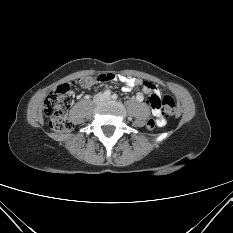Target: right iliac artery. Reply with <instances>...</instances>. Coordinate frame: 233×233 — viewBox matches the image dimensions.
<instances>
[{
    "label": "right iliac artery",
    "instance_id": "obj_1",
    "mask_svg": "<svg viewBox=\"0 0 233 233\" xmlns=\"http://www.w3.org/2000/svg\"><path fill=\"white\" fill-rule=\"evenodd\" d=\"M103 95L106 96V97H109L111 95V91L106 90V91H104Z\"/></svg>",
    "mask_w": 233,
    "mask_h": 233
}]
</instances>
